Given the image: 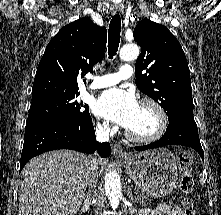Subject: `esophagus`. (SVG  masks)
<instances>
[{"label":"esophagus","instance_id":"34e87169","mask_svg":"<svg viewBox=\"0 0 221 215\" xmlns=\"http://www.w3.org/2000/svg\"><path fill=\"white\" fill-rule=\"evenodd\" d=\"M120 11V6H115L113 8V13H118ZM113 155L115 157H126V153L123 151L122 147L118 144H114L112 148Z\"/></svg>","mask_w":221,"mask_h":215}]
</instances>
